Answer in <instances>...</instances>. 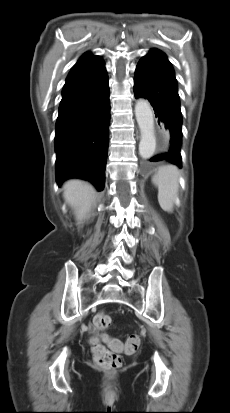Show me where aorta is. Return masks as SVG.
<instances>
[{"mask_svg":"<svg viewBox=\"0 0 230 413\" xmlns=\"http://www.w3.org/2000/svg\"><path fill=\"white\" fill-rule=\"evenodd\" d=\"M135 116L140 129L139 154L142 158H150L156 149L154 129V113L150 103L145 99H138L135 105Z\"/></svg>","mask_w":230,"mask_h":413,"instance_id":"aorta-1","label":"aorta"}]
</instances>
